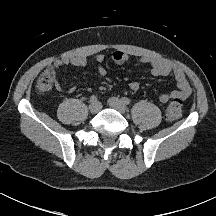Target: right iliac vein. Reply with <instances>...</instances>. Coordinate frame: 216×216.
<instances>
[{"label":"right iliac vein","mask_w":216,"mask_h":216,"mask_svg":"<svg viewBox=\"0 0 216 216\" xmlns=\"http://www.w3.org/2000/svg\"><path fill=\"white\" fill-rule=\"evenodd\" d=\"M101 109V104L99 102H95V103H91L89 105V110L91 113L95 114L97 112H99Z\"/></svg>","instance_id":"1"}]
</instances>
